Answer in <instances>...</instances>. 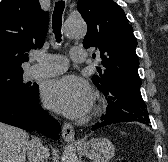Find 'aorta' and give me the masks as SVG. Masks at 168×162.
Returning a JSON list of instances; mask_svg holds the SVG:
<instances>
[{
	"mask_svg": "<svg viewBox=\"0 0 168 162\" xmlns=\"http://www.w3.org/2000/svg\"><path fill=\"white\" fill-rule=\"evenodd\" d=\"M87 32L85 22L80 19L69 18L64 24V35L68 38H82ZM61 162H78L77 154L72 145H67L62 153Z\"/></svg>",
	"mask_w": 168,
	"mask_h": 162,
	"instance_id": "1",
	"label": "aorta"
}]
</instances>
